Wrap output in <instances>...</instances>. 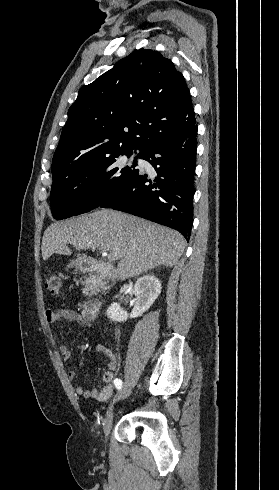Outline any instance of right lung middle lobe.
<instances>
[{
    "instance_id": "obj_1",
    "label": "right lung middle lobe",
    "mask_w": 279,
    "mask_h": 490,
    "mask_svg": "<svg viewBox=\"0 0 279 490\" xmlns=\"http://www.w3.org/2000/svg\"><path fill=\"white\" fill-rule=\"evenodd\" d=\"M123 154L130 156L129 153L110 151L63 177L53 178L50 195L53 217L61 220L89 212L138 175L137 159L134 158L133 165H124L118 160Z\"/></svg>"
}]
</instances>
